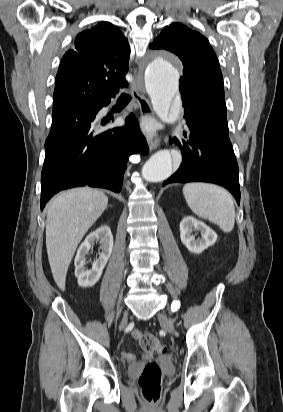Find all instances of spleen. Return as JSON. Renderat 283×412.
Returning a JSON list of instances; mask_svg holds the SVG:
<instances>
[{"label":"spleen","mask_w":283,"mask_h":412,"mask_svg":"<svg viewBox=\"0 0 283 412\" xmlns=\"http://www.w3.org/2000/svg\"><path fill=\"white\" fill-rule=\"evenodd\" d=\"M183 195L195 215L218 225L226 233L233 230L235 207L226 190L207 183H188L183 187Z\"/></svg>","instance_id":"1"}]
</instances>
